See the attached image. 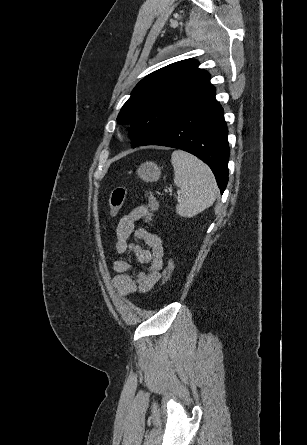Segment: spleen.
<instances>
[{
	"label": "spleen",
	"mask_w": 307,
	"mask_h": 445,
	"mask_svg": "<svg viewBox=\"0 0 307 445\" xmlns=\"http://www.w3.org/2000/svg\"><path fill=\"white\" fill-rule=\"evenodd\" d=\"M174 168V182L180 188L176 212L180 216H195L216 200L218 186L215 176L197 156L174 150L171 154Z\"/></svg>",
	"instance_id": "3e777b00"
}]
</instances>
